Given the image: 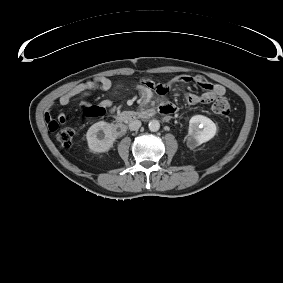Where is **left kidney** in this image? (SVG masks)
I'll list each match as a JSON object with an SVG mask.
<instances>
[{"label": "left kidney", "mask_w": 283, "mask_h": 283, "mask_svg": "<svg viewBox=\"0 0 283 283\" xmlns=\"http://www.w3.org/2000/svg\"><path fill=\"white\" fill-rule=\"evenodd\" d=\"M216 130L217 127L211 119L203 115L191 117L187 134V146L195 148L209 141L215 136Z\"/></svg>", "instance_id": "5707ae66"}]
</instances>
